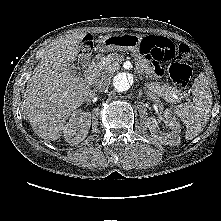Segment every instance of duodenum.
Masks as SVG:
<instances>
[{
	"instance_id": "1",
	"label": "duodenum",
	"mask_w": 221,
	"mask_h": 221,
	"mask_svg": "<svg viewBox=\"0 0 221 221\" xmlns=\"http://www.w3.org/2000/svg\"><path fill=\"white\" fill-rule=\"evenodd\" d=\"M97 61H98V57L94 60L89 61L86 64V74L88 76H94L97 72Z\"/></svg>"
}]
</instances>
